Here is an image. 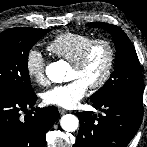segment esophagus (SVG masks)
<instances>
[{
	"label": "esophagus",
	"instance_id": "obj_1",
	"mask_svg": "<svg viewBox=\"0 0 147 147\" xmlns=\"http://www.w3.org/2000/svg\"><path fill=\"white\" fill-rule=\"evenodd\" d=\"M59 113H60L61 115H63V114H65V113H67V110L60 108V109H59Z\"/></svg>",
	"mask_w": 147,
	"mask_h": 147
}]
</instances>
